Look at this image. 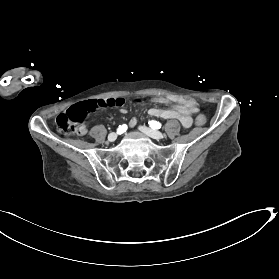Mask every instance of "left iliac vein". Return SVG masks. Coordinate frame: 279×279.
<instances>
[{"label": "left iliac vein", "instance_id": "4c4485c4", "mask_svg": "<svg viewBox=\"0 0 279 279\" xmlns=\"http://www.w3.org/2000/svg\"><path fill=\"white\" fill-rule=\"evenodd\" d=\"M139 130H141L142 132H144L151 138L157 139V140L162 139L164 136L163 133H161L160 131L150 129L145 126H139Z\"/></svg>", "mask_w": 279, "mask_h": 279}]
</instances>
